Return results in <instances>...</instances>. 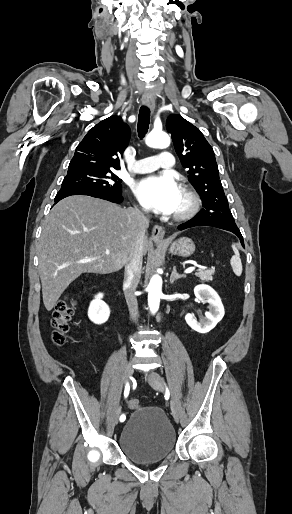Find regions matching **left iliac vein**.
Segmentation results:
<instances>
[{"instance_id":"obj_1","label":"left iliac vein","mask_w":292,"mask_h":514,"mask_svg":"<svg viewBox=\"0 0 292 514\" xmlns=\"http://www.w3.org/2000/svg\"><path fill=\"white\" fill-rule=\"evenodd\" d=\"M146 379L151 387L157 391H164V382L162 378L156 372H149L146 375ZM171 414L176 422H179L180 416L178 412V408L174 402H171Z\"/></svg>"}]
</instances>
